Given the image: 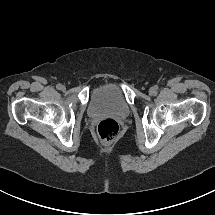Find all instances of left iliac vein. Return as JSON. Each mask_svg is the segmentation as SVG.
Instances as JSON below:
<instances>
[{
  "label": "left iliac vein",
  "mask_w": 215,
  "mask_h": 215,
  "mask_svg": "<svg viewBox=\"0 0 215 215\" xmlns=\"http://www.w3.org/2000/svg\"><path fill=\"white\" fill-rule=\"evenodd\" d=\"M156 92H157V91H156L155 87H151V88L149 89V94H150L151 96L155 95Z\"/></svg>",
  "instance_id": "4c4485c4"
}]
</instances>
